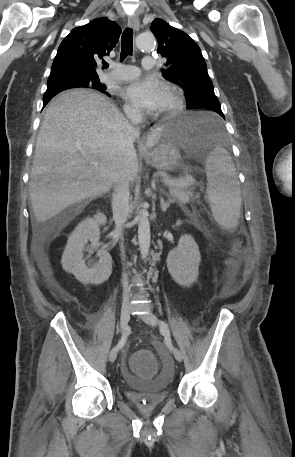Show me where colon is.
I'll return each instance as SVG.
<instances>
[{"label":"colon","mask_w":295,"mask_h":457,"mask_svg":"<svg viewBox=\"0 0 295 457\" xmlns=\"http://www.w3.org/2000/svg\"><path fill=\"white\" fill-rule=\"evenodd\" d=\"M248 242L247 235L241 233L233 243V258L229 261V266L234 270L238 264V257L241 255ZM134 363L133 369L137 378H154L158 366L153 351H148L147 346H138L137 351L132 353Z\"/></svg>","instance_id":"colon-1"}]
</instances>
